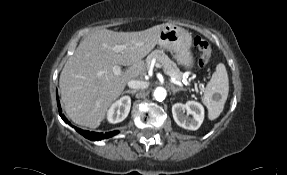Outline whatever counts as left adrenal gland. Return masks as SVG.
<instances>
[{"label":"left adrenal gland","mask_w":287,"mask_h":175,"mask_svg":"<svg viewBox=\"0 0 287 175\" xmlns=\"http://www.w3.org/2000/svg\"><path fill=\"white\" fill-rule=\"evenodd\" d=\"M171 90H172V92H173V94H175V93H177V92H179V91H181V90H183L182 88H176L174 85H171Z\"/></svg>","instance_id":"a2214340"}]
</instances>
